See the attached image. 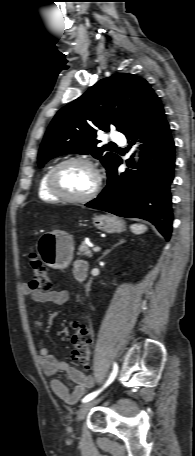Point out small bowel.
Masks as SVG:
<instances>
[{"label": "small bowel", "instance_id": "1", "mask_svg": "<svg viewBox=\"0 0 195 456\" xmlns=\"http://www.w3.org/2000/svg\"><path fill=\"white\" fill-rule=\"evenodd\" d=\"M80 262L75 263V271ZM22 292L25 296L31 297L35 302H52L58 305L64 304L69 297L66 290L59 289L42 292L32 289L29 285H24ZM39 356L44 373L51 378V390L66 403L75 404L94 385L92 376L85 375L80 370L70 366L67 362L57 359L50 354L47 347L42 346L39 349ZM58 372L66 373L68 378L75 383L76 386L73 391L70 392L67 386L55 377Z\"/></svg>", "mask_w": 195, "mask_h": 456}]
</instances>
